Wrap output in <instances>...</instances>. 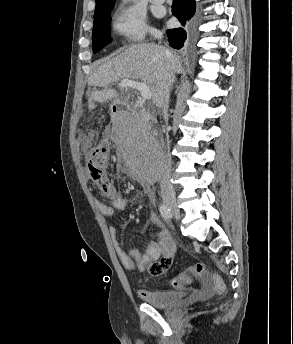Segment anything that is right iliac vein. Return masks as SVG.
Segmentation results:
<instances>
[{"label":"right iliac vein","mask_w":293,"mask_h":344,"mask_svg":"<svg viewBox=\"0 0 293 344\" xmlns=\"http://www.w3.org/2000/svg\"><path fill=\"white\" fill-rule=\"evenodd\" d=\"M165 204L174 213L175 217L177 219H179L180 218V210H179V208L177 206L176 201L167 200V201H165Z\"/></svg>","instance_id":"obj_1"}]
</instances>
